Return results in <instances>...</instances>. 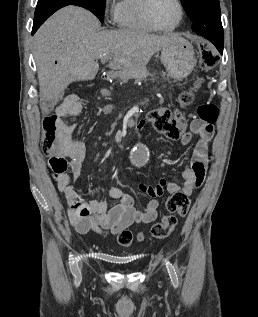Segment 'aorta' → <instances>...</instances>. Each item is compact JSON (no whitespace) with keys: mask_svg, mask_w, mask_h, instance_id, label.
Listing matches in <instances>:
<instances>
[{"mask_svg":"<svg viewBox=\"0 0 258 317\" xmlns=\"http://www.w3.org/2000/svg\"><path fill=\"white\" fill-rule=\"evenodd\" d=\"M148 151L146 147L139 145L132 154V161L136 166H142L148 161Z\"/></svg>","mask_w":258,"mask_h":317,"instance_id":"obj_1","label":"aorta"}]
</instances>
